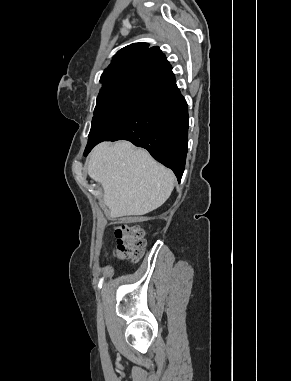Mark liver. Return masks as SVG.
I'll return each mask as SVG.
<instances>
[{"label":"liver","instance_id":"1","mask_svg":"<svg viewBox=\"0 0 291 381\" xmlns=\"http://www.w3.org/2000/svg\"><path fill=\"white\" fill-rule=\"evenodd\" d=\"M88 175L100 183L110 218L141 216L170 197L173 172L128 141L103 142L91 152Z\"/></svg>","mask_w":291,"mask_h":381}]
</instances>
